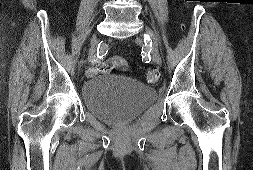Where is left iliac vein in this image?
<instances>
[{
    "mask_svg": "<svg viewBox=\"0 0 253 170\" xmlns=\"http://www.w3.org/2000/svg\"><path fill=\"white\" fill-rule=\"evenodd\" d=\"M146 32L148 33L150 39H151V48H150V52H151V56L153 58V61L161 66L162 65V59L160 56V53L158 51V43H157V39L155 38L153 32L151 31L150 28L146 27Z\"/></svg>",
    "mask_w": 253,
    "mask_h": 170,
    "instance_id": "4c4485c4",
    "label": "left iliac vein"
}]
</instances>
